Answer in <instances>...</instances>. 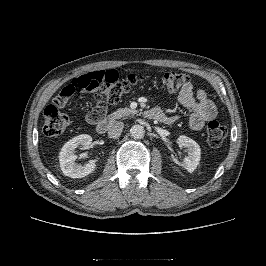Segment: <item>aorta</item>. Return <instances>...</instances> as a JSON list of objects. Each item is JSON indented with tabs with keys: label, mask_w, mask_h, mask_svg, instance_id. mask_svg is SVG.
Segmentation results:
<instances>
[{
	"label": "aorta",
	"mask_w": 266,
	"mask_h": 266,
	"mask_svg": "<svg viewBox=\"0 0 266 266\" xmlns=\"http://www.w3.org/2000/svg\"><path fill=\"white\" fill-rule=\"evenodd\" d=\"M130 134L135 139H141L145 135V129L141 125H134L130 129Z\"/></svg>",
	"instance_id": "1"
}]
</instances>
